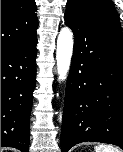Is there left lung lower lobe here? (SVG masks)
<instances>
[{"mask_svg":"<svg viewBox=\"0 0 123 152\" xmlns=\"http://www.w3.org/2000/svg\"><path fill=\"white\" fill-rule=\"evenodd\" d=\"M74 33L67 79L61 150L81 142L123 149V40L77 13H65Z\"/></svg>","mask_w":123,"mask_h":152,"instance_id":"0a47b994","label":"left lung lower lobe"}]
</instances>
